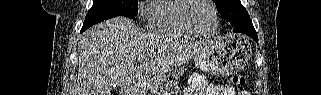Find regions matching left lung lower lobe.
I'll use <instances>...</instances> for the list:
<instances>
[{"label":"left lung lower lobe","instance_id":"1","mask_svg":"<svg viewBox=\"0 0 321 95\" xmlns=\"http://www.w3.org/2000/svg\"><path fill=\"white\" fill-rule=\"evenodd\" d=\"M233 31L246 34L249 37L253 38L256 42H258V36L251 21L239 23L238 25L233 27Z\"/></svg>","mask_w":321,"mask_h":95}]
</instances>
